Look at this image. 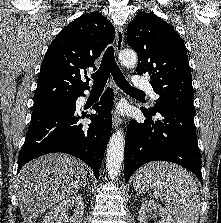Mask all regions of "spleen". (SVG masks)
Returning a JSON list of instances; mask_svg holds the SVG:
<instances>
[{
    "instance_id": "obj_1",
    "label": "spleen",
    "mask_w": 221,
    "mask_h": 223,
    "mask_svg": "<svg viewBox=\"0 0 221 223\" xmlns=\"http://www.w3.org/2000/svg\"><path fill=\"white\" fill-rule=\"evenodd\" d=\"M135 190H152L162 200L177 223H197L200 196L193 176L185 168L169 162H151L134 178Z\"/></svg>"
}]
</instances>
